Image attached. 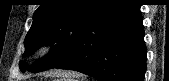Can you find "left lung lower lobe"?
<instances>
[{"mask_svg":"<svg viewBox=\"0 0 169 81\" xmlns=\"http://www.w3.org/2000/svg\"><path fill=\"white\" fill-rule=\"evenodd\" d=\"M146 54L139 1L114 0L85 28L70 56L54 68L101 81H143Z\"/></svg>","mask_w":169,"mask_h":81,"instance_id":"0a47b994","label":"left lung lower lobe"}]
</instances>
